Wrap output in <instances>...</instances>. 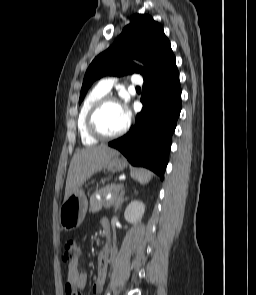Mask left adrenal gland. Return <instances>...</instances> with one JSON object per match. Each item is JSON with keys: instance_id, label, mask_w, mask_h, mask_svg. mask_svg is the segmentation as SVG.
<instances>
[{"instance_id": "a2214340", "label": "left adrenal gland", "mask_w": 256, "mask_h": 295, "mask_svg": "<svg viewBox=\"0 0 256 295\" xmlns=\"http://www.w3.org/2000/svg\"><path fill=\"white\" fill-rule=\"evenodd\" d=\"M120 189H121V190H120V193H119V195L116 197L115 202H114V212H115V213H116L117 210L122 206L123 202H124L125 200L128 199L127 197H126V198L124 197V195H125L124 187L122 186ZM135 194H137L136 191H135Z\"/></svg>"}]
</instances>
